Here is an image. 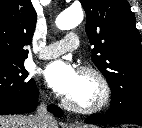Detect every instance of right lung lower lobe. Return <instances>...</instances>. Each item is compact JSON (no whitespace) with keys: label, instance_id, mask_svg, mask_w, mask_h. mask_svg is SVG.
Wrapping results in <instances>:
<instances>
[{"label":"right lung lower lobe","instance_id":"1","mask_svg":"<svg viewBox=\"0 0 142 128\" xmlns=\"http://www.w3.org/2000/svg\"><path fill=\"white\" fill-rule=\"evenodd\" d=\"M39 92L36 88L35 92L21 99L15 98H4L0 99V114H22V113H30L35 110L38 101L37 97ZM48 110L52 112L55 116L61 117L62 112L59 107L55 105L48 106Z\"/></svg>","mask_w":142,"mask_h":128}]
</instances>
